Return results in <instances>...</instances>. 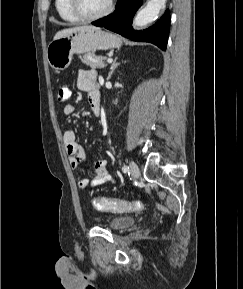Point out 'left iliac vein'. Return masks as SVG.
Listing matches in <instances>:
<instances>
[{"instance_id":"left-iliac-vein-1","label":"left iliac vein","mask_w":243,"mask_h":289,"mask_svg":"<svg viewBox=\"0 0 243 289\" xmlns=\"http://www.w3.org/2000/svg\"><path fill=\"white\" fill-rule=\"evenodd\" d=\"M129 167H130V173H131L132 177L134 179H137L140 175L138 165L134 161H131L129 163Z\"/></svg>"}]
</instances>
